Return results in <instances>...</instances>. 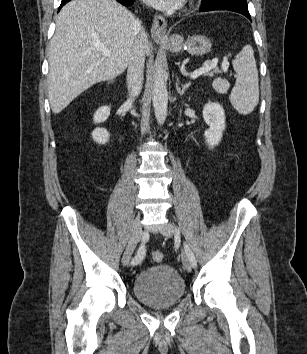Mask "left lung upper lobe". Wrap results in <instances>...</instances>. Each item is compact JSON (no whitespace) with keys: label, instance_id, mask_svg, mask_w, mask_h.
Here are the masks:
<instances>
[{"label":"left lung upper lobe","instance_id":"1","mask_svg":"<svg viewBox=\"0 0 307 354\" xmlns=\"http://www.w3.org/2000/svg\"><path fill=\"white\" fill-rule=\"evenodd\" d=\"M230 1H246V0H202V4H207L211 2H230Z\"/></svg>","mask_w":307,"mask_h":354}]
</instances>
